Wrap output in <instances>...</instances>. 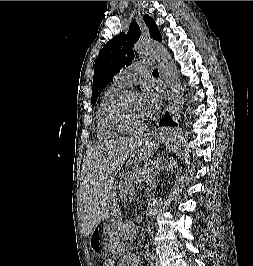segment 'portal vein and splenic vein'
I'll list each match as a JSON object with an SVG mask.
<instances>
[{"mask_svg":"<svg viewBox=\"0 0 253 266\" xmlns=\"http://www.w3.org/2000/svg\"><path fill=\"white\" fill-rule=\"evenodd\" d=\"M138 174H139V175H143V174H144V172H139Z\"/></svg>","mask_w":253,"mask_h":266,"instance_id":"18ae733b","label":"portal vein and splenic vein"}]
</instances>
